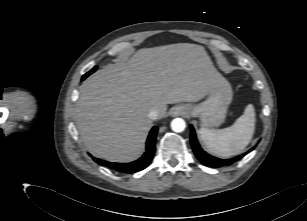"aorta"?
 Returning <instances> with one entry per match:
<instances>
[{"instance_id": "obj_1", "label": "aorta", "mask_w": 307, "mask_h": 221, "mask_svg": "<svg viewBox=\"0 0 307 221\" xmlns=\"http://www.w3.org/2000/svg\"><path fill=\"white\" fill-rule=\"evenodd\" d=\"M186 128V123L182 118H175L171 122V129L174 132H182Z\"/></svg>"}]
</instances>
